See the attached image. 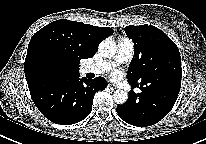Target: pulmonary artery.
<instances>
[{"label": "pulmonary artery", "instance_id": "1", "mask_svg": "<svg viewBox=\"0 0 206 144\" xmlns=\"http://www.w3.org/2000/svg\"><path fill=\"white\" fill-rule=\"evenodd\" d=\"M134 44L128 38H122L118 41L117 54L111 61H101L88 64L83 67L84 73L104 74L110 71L113 67L129 61L133 57Z\"/></svg>", "mask_w": 206, "mask_h": 144}]
</instances>
